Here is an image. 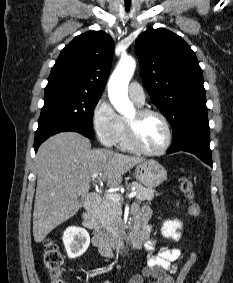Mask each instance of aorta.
Here are the masks:
<instances>
[{
    "mask_svg": "<svg viewBox=\"0 0 233 283\" xmlns=\"http://www.w3.org/2000/svg\"><path fill=\"white\" fill-rule=\"evenodd\" d=\"M136 62L130 57H122L108 83V96L114 108L126 115L134 110L128 98V84L135 71Z\"/></svg>",
    "mask_w": 233,
    "mask_h": 283,
    "instance_id": "aorta-1",
    "label": "aorta"
}]
</instances>
